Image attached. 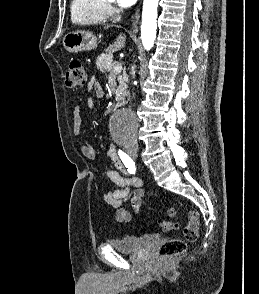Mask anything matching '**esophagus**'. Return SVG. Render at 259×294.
I'll return each instance as SVG.
<instances>
[{
    "instance_id": "esophagus-1",
    "label": "esophagus",
    "mask_w": 259,
    "mask_h": 294,
    "mask_svg": "<svg viewBox=\"0 0 259 294\" xmlns=\"http://www.w3.org/2000/svg\"><path fill=\"white\" fill-rule=\"evenodd\" d=\"M139 12H140V9L138 8L133 16V20H132V26L133 27H137L138 25V21H139Z\"/></svg>"
}]
</instances>
